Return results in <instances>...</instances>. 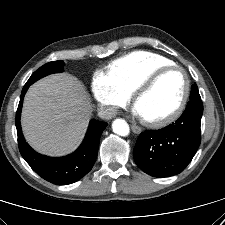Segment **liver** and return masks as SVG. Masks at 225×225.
Here are the masks:
<instances>
[{"mask_svg": "<svg viewBox=\"0 0 225 225\" xmlns=\"http://www.w3.org/2000/svg\"><path fill=\"white\" fill-rule=\"evenodd\" d=\"M91 112V100L83 84L70 74H53L34 83L26 93L23 133L36 151L65 155L82 141Z\"/></svg>", "mask_w": 225, "mask_h": 225, "instance_id": "6515ba94", "label": "liver"}]
</instances>
